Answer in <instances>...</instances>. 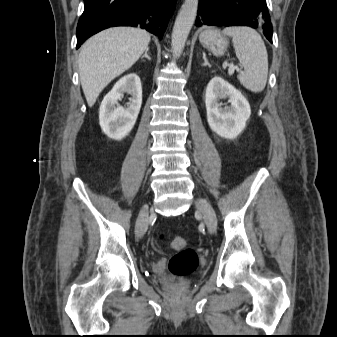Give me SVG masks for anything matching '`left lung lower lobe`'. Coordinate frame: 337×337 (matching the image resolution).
<instances>
[{
    "label": "left lung lower lobe",
    "instance_id": "left-lung-lower-lobe-1",
    "mask_svg": "<svg viewBox=\"0 0 337 337\" xmlns=\"http://www.w3.org/2000/svg\"><path fill=\"white\" fill-rule=\"evenodd\" d=\"M195 25L260 27L272 43L266 0H200Z\"/></svg>",
    "mask_w": 337,
    "mask_h": 337
}]
</instances>
